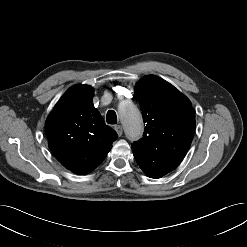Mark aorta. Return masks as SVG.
I'll return each instance as SVG.
<instances>
[{
  "label": "aorta",
  "mask_w": 247,
  "mask_h": 247,
  "mask_svg": "<svg viewBox=\"0 0 247 247\" xmlns=\"http://www.w3.org/2000/svg\"><path fill=\"white\" fill-rule=\"evenodd\" d=\"M119 115L127 138L135 141L143 134V121L137 107L130 101L119 105Z\"/></svg>",
  "instance_id": "aorta-1"
}]
</instances>
